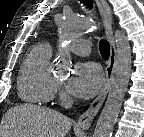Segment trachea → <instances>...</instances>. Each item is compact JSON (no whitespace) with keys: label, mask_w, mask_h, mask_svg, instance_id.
<instances>
[{"label":"trachea","mask_w":144,"mask_h":137,"mask_svg":"<svg viewBox=\"0 0 144 137\" xmlns=\"http://www.w3.org/2000/svg\"><path fill=\"white\" fill-rule=\"evenodd\" d=\"M87 8H91L93 0H81ZM99 50L103 58L108 59L110 55V45L106 40H101L99 43Z\"/></svg>","instance_id":"1"}]
</instances>
